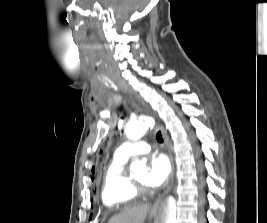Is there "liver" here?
I'll return each instance as SVG.
<instances>
[{"mask_svg":"<svg viewBox=\"0 0 267 223\" xmlns=\"http://www.w3.org/2000/svg\"><path fill=\"white\" fill-rule=\"evenodd\" d=\"M149 210L148 204L128 207L111 217L108 223H143Z\"/></svg>","mask_w":267,"mask_h":223,"instance_id":"1","label":"liver"}]
</instances>
